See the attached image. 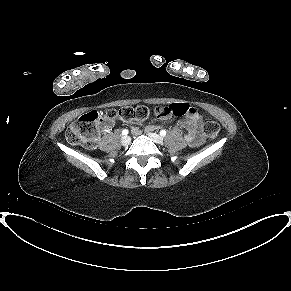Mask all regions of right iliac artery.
Returning a JSON list of instances; mask_svg holds the SVG:
<instances>
[{"label": "right iliac artery", "instance_id": "obj_1", "mask_svg": "<svg viewBox=\"0 0 291 291\" xmlns=\"http://www.w3.org/2000/svg\"><path fill=\"white\" fill-rule=\"evenodd\" d=\"M128 133H129V131L127 129L122 130V135H127Z\"/></svg>", "mask_w": 291, "mask_h": 291}]
</instances>
